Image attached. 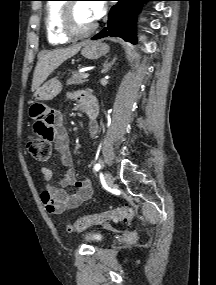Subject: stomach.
Returning <instances> with one entry per match:
<instances>
[{
	"label": "stomach",
	"mask_w": 216,
	"mask_h": 285,
	"mask_svg": "<svg viewBox=\"0 0 216 285\" xmlns=\"http://www.w3.org/2000/svg\"><path fill=\"white\" fill-rule=\"evenodd\" d=\"M109 51V46L105 43L90 41L86 43L82 49L81 54L90 60H96L105 55ZM62 89V84L57 78L50 79L45 82L35 92L34 97L37 101H49L56 97Z\"/></svg>",
	"instance_id": "obj_1"
}]
</instances>
